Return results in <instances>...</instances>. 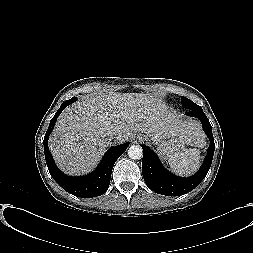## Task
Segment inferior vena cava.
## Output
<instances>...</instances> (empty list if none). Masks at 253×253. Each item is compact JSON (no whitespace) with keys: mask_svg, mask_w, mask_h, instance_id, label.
<instances>
[{"mask_svg":"<svg viewBox=\"0 0 253 253\" xmlns=\"http://www.w3.org/2000/svg\"><path fill=\"white\" fill-rule=\"evenodd\" d=\"M114 144H121L123 142V135L121 133H114L110 136Z\"/></svg>","mask_w":253,"mask_h":253,"instance_id":"obj_1","label":"inferior vena cava"}]
</instances>
